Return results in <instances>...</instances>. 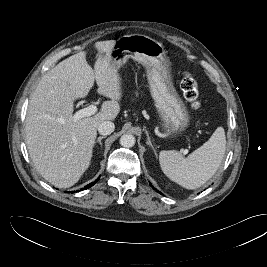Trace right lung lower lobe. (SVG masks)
<instances>
[{"label":"right lung lower lobe","mask_w":267,"mask_h":267,"mask_svg":"<svg viewBox=\"0 0 267 267\" xmlns=\"http://www.w3.org/2000/svg\"><path fill=\"white\" fill-rule=\"evenodd\" d=\"M98 179H99V178H98ZM98 179H96V181H94V182H92V183L86 185V186L83 188V190L92 187V186L98 181ZM78 192H79V191H78ZM72 193H73V191H72Z\"/></svg>","instance_id":"1"}]
</instances>
